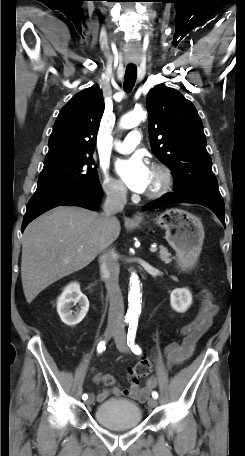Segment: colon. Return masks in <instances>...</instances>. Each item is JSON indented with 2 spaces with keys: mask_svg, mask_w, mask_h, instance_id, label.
<instances>
[{
  "mask_svg": "<svg viewBox=\"0 0 245 456\" xmlns=\"http://www.w3.org/2000/svg\"><path fill=\"white\" fill-rule=\"evenodd\" d=\"M152 369V360L149 357L143 358L134 367L130 369L131 380L134 382H138L140 379L148 376Z\"/></svg>",
  "mask_w": 245,
  "mask_h": 456,
  "instance_id": "1",
  "label": "colon"
}]
</instances>
